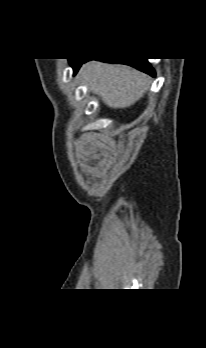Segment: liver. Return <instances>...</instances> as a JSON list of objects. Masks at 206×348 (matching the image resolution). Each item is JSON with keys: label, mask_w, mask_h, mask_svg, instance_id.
<instances>
[{"label": "liver", "mask_w": 206, "mask_h": 348, "mask_svg": "<svg viewBox=\"0 0 206 348\" xmlns=\"http://www.w3.org/2000/svg\"><path fill=\"white\" fill-rule=\"evenodd\" d=\"M79 75L89 89L111 108H125L136 103L149 88V77L129 66L89 62Z\"/></svg>", "instance_id": "liver-1"}]
</instances>
